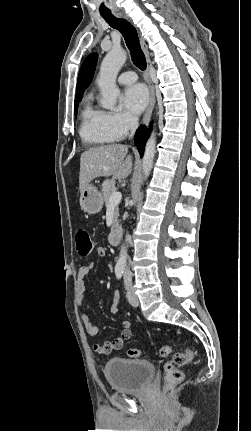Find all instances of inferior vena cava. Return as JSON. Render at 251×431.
Masks as SVG:
<instances>
[{"instance_id":"602c4592","label":"inferior vena cava","mask_w":251,"mask_h":431,"mask_svg":"<svg viewBox=\"0 0 251 431\" xmlns=\"http://www.w3.org/2000/svg\"><path fill=\"white\" fill-rule=\"evenodd\" d=\"M129 127L131 130V134H130V138H132L135 134V131L138 127V118L135 116H130L129 117ZM127 241H129V236H127ZM124 279L126 281H130L132 279V274L131 271L129 269V266L126 267L125 272H124Z\"/></svg>"}]
</instances>
